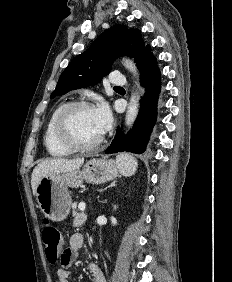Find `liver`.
Here are the masks:
<instances>
[{
    "label": "liver",
    "mask_w": 232,
    "mask_h": 282,
    "mask_svg": "<svg viewBox=\"0 0 232 282\" xmlns=\"http://www.w3.org/2000/svg\"><path fill=\"white\" fill-rule=\"evenodd\" d=\"M84 163L83 158L64 159L54 158L41 161L33 170L31 176V186L34 195H37L36 189L40 180L45 176L55 173H63L79 169Z\"/></svg>",
    "instance_id": "1"
}]
</instances>
